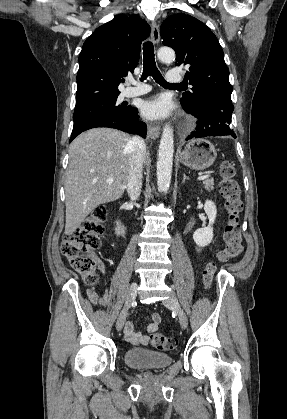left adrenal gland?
<instances>
[{"label":"left adrenal gland","mask_w":287,"mask_h":419,"mask_svg":"<svg viewBox=\"0 0 287 419\" xmlns=\"http://www.w3.org/2000/svg\"><path fill=\"white\" fill-rule=\"evenodd\" d=\"M189 178L186 176V174L183 175V180L182 182L185 183V180H188Z\"/></svg>","instance_id":"obj_1"}]
</instances>
